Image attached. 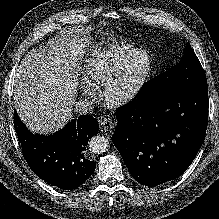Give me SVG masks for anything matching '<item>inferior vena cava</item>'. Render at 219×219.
<instances>
[{"label":"inferior vena cava","mask_w":219,"mask_h":219,"mask_svg":"<svg viewBox=\"0 0 219 219\" xmlns=\"http://www.w3.org/2000/svg\"><path fill=\"white\" fill-rule=\"evenodd\" d=\"M94 105L93 102L88 99H81L78 102H76L75 110L79 114H91L93 112Z\"/></svg>","instance_id":"1"}]
</instances>
